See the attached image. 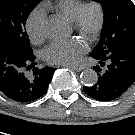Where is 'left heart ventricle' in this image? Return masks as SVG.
I'll return each mask as SVG.
<instances>
[{
    "mask_svg": "<svg viewBox=\"0 0 135 135\" xmlns=\"http://www.w3.org/2000/svg\"><path fill=\"white\" fill-rule=\"evenodd\" d=\"M89 19L92 21L94 19V13L90 12L88 15Z\"/></svg>",
    "mask_w": 135,
    "mask_h": 135,
    "instance_id": "b2bd125f",
    "label": "left heart ventricle"
}]
</instances>
